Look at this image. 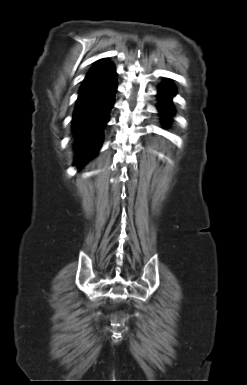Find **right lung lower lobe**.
Masks as SVG:
<instances>
[{
	"label": "right lung lower lobe",
	"instance_id": "1",
	"mask_svg": "<svg viewBox=\"0 0 247 385\" xmlns=\"http://www.w3.org/2000/svg\"><path fill=\"white\" fill-rule=\"evenodd\" d=\"M116 89V72L110 62L91 69L81 85L72 120L78 166L93 157L102 145Z\"/></svg>",
	"mask_w": 247,
	"mask_h": 385
}]
</instances>
